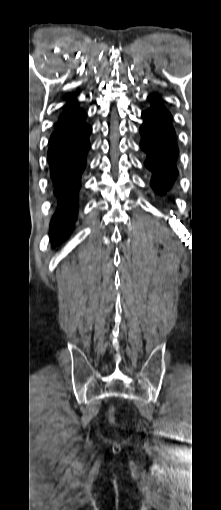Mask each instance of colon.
<instances>
[{
    "label": "colon",
    "instance_id": "5ec220e1",
    "mask_svg": "<svg viewBox=\"0 0 221 510\" xmlns=\"http://www.w3.org/2000/svg\"><path fill=\"white\" fill-rule=\"evenodd\" d=\"M109 418L111 421H114V408L111 407L109 410Z\"/></svg>",
    "mask_w": 221,
    "mask_h": 510
}]
</instances>
